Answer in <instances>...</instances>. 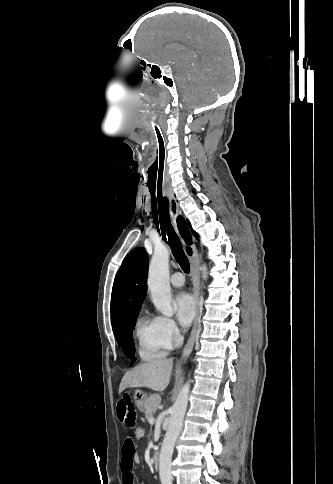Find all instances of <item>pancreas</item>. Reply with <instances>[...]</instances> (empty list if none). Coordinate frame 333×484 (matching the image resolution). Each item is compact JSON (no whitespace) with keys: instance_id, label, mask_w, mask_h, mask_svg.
Here are the masks:
<instances>
[{"instance_id":"cf45deb5","label":"pancreas","mask_w":333,"mask_h":484,"mask_svg":"<svg viewBox=\"0 0 333 484\" xmlns=\"http://www.w3.org/2000/svg\"><path fill=\"white\" fill-rule=\"evenodd\" d=\"M160 402L161 398L158 395H151L150 397H148L145 406V417L147 420L153 417Z\"/></svg>"}]
</instances>
